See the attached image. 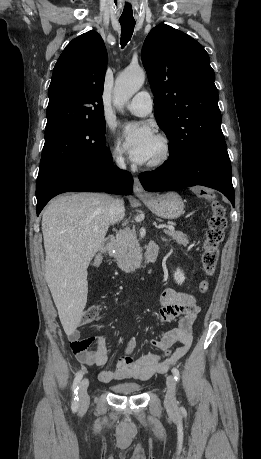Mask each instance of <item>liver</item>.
<instances>
[{
	"label": "liver",
	"instance_id": "6515ba94",
	"mask_svg": "<svg viewBox=\"0 0 261 459\" xmlns=\"http://www.w3.org/2000/svg\"><path fill=\"white\" fill-rule=\"evenodd\" d=\"M112 200L106 194H67L55 198L42 215L45 279L68 336L81 322L87 268L104 244Z\"/></svg>",
	"mask_w": 261,
	"mask_h": 459
}]
</instances>
